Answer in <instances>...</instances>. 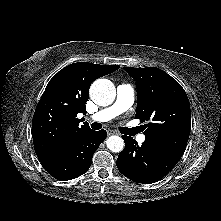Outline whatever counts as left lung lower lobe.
<instances>
[{
	"label": "left lung lower lobe",
	"mask_w": 221,
	"mask_h": 221,
	"mask_svg": "<svg viewBox=\"0 0 221 221\" xmlns=\"http://www.w3.org/2000/svg\"><path fill=\"white\" fill-rule=\"evenodd\" d=\"M122 138L125 148L117 158V168L135 182L151 184L162 179L180 159L147 141L138 146L133 137Z\"/></svg>",
	"instance_id": "left-lung-lower-lobe-1"
}]
</instances>
